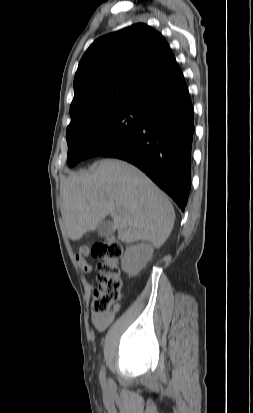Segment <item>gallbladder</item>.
<instances>
[{
  "label": "gallbladder",
  "mask_w": 253,
  "mask_h": 413,
  "mask_svg": "<svg viewBox=\"0 0 253 413\" xmlns=\"http://www.w3.org/2000/svg\"><path fill=\"white\" fill-rule=\"evenodd\" d=\"M114 230H115L114 224L109 220H104L98 226L97 232L99 236L104 237V236L112 234Z\"/></svg>",
  "instance_id": "gallbladder-1"
}]
</instances>
